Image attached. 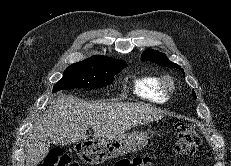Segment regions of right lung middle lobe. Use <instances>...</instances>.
Returning <instances> with one entry per match:
<instances>
[{"label": "right lung middle lobe", "instance_id": "right-lung-middle-lobe-1", "mask_svg": "<svg viewBox=\"0 0 231 166\" xmlns=\"http://www.w3.org/2000/svg\"><path fill=\"white\" fill-rule=\"evenodd\" d=\"M127 64L122 60L105 58L86 59L67 67L63 77L53 87V92L72 88H103L113 82L114 76Z\"/></svg>", "mask_w": 231, "mask_h": 166}]
</instances>
